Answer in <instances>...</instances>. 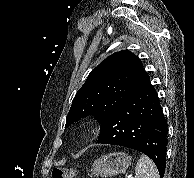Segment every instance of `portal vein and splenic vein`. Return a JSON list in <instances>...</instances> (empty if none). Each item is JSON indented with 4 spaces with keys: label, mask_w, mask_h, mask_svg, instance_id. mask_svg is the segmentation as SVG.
<instances>
[{
    "label": "portal vein and splenic vein",
    "mask_w": 194,
    "mask_h": 178,
    "mask_svg": "<svg viewBox=\"0 0 194 178\" xmlns=\"http://www.w3.org/2000/svg\"><path fill=\"white\" fill-rule=\"evenodd\" d=\"M127 178H134L133 176H131V175H129V176H127Z\"/></svg>",
    "instance_id": "18ae733b"
}]
</instances>
